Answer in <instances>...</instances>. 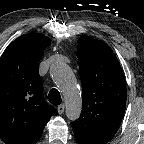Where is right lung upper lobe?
<instances>
[{
    "label": "right lung upper lobe",
    "instance_id": "right-lung-upper-lobe-1",
    "mask_svg": "<svg viewBox=\"0 0 144 144\" xmlns=\"http://www.w3.org/2000/svg\"><path fill=\"white\" fill-rule=\"evenodd\" d=\"M50 39L29 33L0 58V136L6 144H35L57 111L43 98L38 62Z\"/></svg>",
    "mask_w": 144,
    "mask_h": 144
}]
</instances>
